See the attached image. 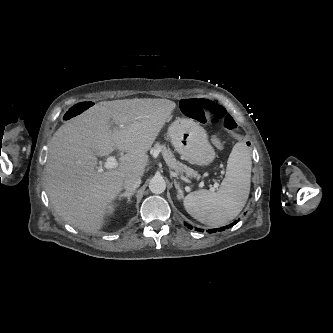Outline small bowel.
<instances>
[{
  "label": "small bowel",
  "mask_w": 333,
  "mask_h": 333,
  "mask_svg": "<svg viewBox=\"0 0 333 333\" xmlns=\"http://www.w3.org/2000/svg\"><path fill=\"white\" fill-rule=\"evenodd\" d=\"M206 135L209 137L211 134L208 132ZM228 143H229L228 137L221 133H216V134L212 135V137L210 139V144L212 145V147L214 149L215 148L223 149V148L227 147Z\"/></svg>",
  "instance_id": "1"
}]
</instances>
